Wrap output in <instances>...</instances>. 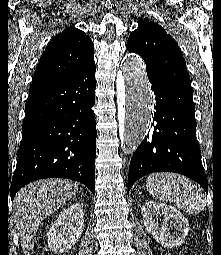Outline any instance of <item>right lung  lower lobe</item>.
Here are the masks:
<instances>
[{
  "mask_svg": "<svg viewBox=\"0 0 221 255\" xmlns=\"http://www.w3.org/2000/svg\"><path fill=\"white\" fill-rule=\"evenodd\" d=\"M95 62L31 87L10 195L43 178H69L95 193Z\"/></svg>",
  "mask_w": 221,
  "mask_h": 255,
  "instance_id": "1",
  "label": "right lung lower lobe"
}]
</instances>
